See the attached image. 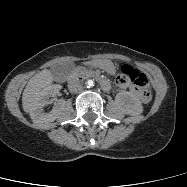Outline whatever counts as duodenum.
I'll use <instances>...</instances> for the list:
<instances>
[{"label": "duodenum", "mask_w": 187, "mask_h": 187, "mask_svg": "<svg viewBox=\"0 0 187 187\" xmlns=\"http://www.w3.org/2000/svg\"><path fill=\"white\" fill-rule=\"evenodd\" d=\"M100 85H101L102 89H104L105 91H108L111 88L110 82L108 80H105V79L100 80Z\"/></svg>", "instance_id": "duodenum-1"}]
</instances>
